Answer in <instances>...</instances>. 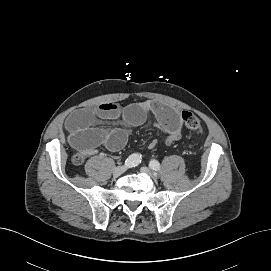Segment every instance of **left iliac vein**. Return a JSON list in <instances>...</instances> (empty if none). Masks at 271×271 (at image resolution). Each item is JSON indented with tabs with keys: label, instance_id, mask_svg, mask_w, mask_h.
I'll return each instance as SVG.
<instances>
[{
	"label": "left iliac vein",
	"instance_id": "4c4485c4",
	"mask_svg": "<svg viewBox=\"0 0 271 271\" xmlns=\"http://www.w3.org/2000/svg\"><path fill=\"white\" fill-rule=\"evenodd\" d=\"M141 171L145 174H147L152 180H157V174L155 172H153L151 169H149L148 167H142Z\"/></svg>",
	"mask_w": 271,
	"mask_h": 271
}]
</instances>
